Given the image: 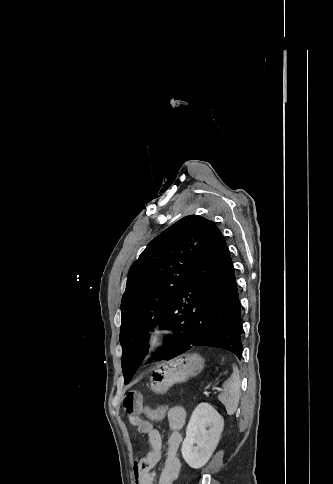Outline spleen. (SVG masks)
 Here are the masks:
<instances>
[{
    "mask_svg": "<svg viewBox=\"0 0 333 484\" xmlns=\"http://www.w3.org/2000/svg\"><path fill=\"white\" fill-rule=\"evenodd\" d=\"M240 398V377L237 366L233 374L223 384V391L219 394V401L225 406L228 415H233L238 407Z\"/></svg>",
    "mask_w": 333,
    "mask_h": 484,
    "instance_id": "spleen-1",
    "label": "spleen"
}]
</instances>
